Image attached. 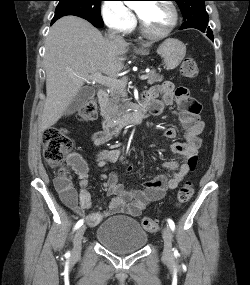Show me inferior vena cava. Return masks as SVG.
<instances>
[{
	"instance_id": "602c4592",
	"label": "inferior vena cava",
	"mask_w": 250,
	"mask_h": 285,
	"mask_svg": "<svg viewBox=\"0 0 250 285\" xmlns=\"http://www.w3.org/2000/svg\"><path fill=\"white\" fill-rule=\"evenodd\" d=\"M108 36H109V38H111V39H116V40H119V41H124L123 38H122L121 36L117 35V33H116L114 30H109Z\"/></svg>"
}]
</instances>
